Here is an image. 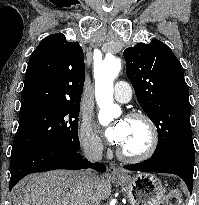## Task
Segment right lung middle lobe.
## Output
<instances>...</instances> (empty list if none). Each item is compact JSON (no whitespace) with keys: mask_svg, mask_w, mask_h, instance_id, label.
Returning a JSON list of instances; mask_svg holds the SVG:
<instances>
[{"mask_svg":"<svg viewBox=\"0 0 199 205\" xmlns=\"http://www.w3.org/2000/svg\"><path fill=\"white\" fill-rule=\"evenodd\" d=\"M80 104L41 105L19 113L11 157L48 145L79 149L78 116Z\"/></svg>","mask_w":199,"mask_h":205,"instance_id":"obj_1","label":"right lung middle lobe"}]
</instances>
